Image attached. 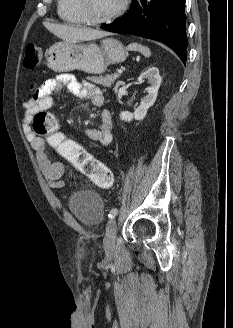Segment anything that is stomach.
Wrapping results in <instances>:
<instances>
[{"mask_svg":"<svg viewBox=\"0 0 233 328\" xmlns=\"http://www.w3.org/2000/svg\"><path fill=\"white\" fill-rule=\"evenodd\" d=\"M122 43L106 38L101 45L94 42H58L47 52V66L56 72H69L75 69L86 73L101 74L108 65L121 63L126 59Z\"/></svg>","mask_w":233,"mask_h":328,"instance_id":"1","label":"stomach"}]
</instances>
